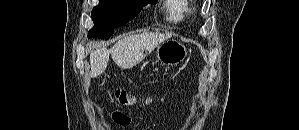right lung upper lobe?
Returning a JSON list of instances; mask_svg holds the SVG:
<instances>
[{
  "instance_id": "cb5924a9",
  "label": "right lung upper lobe",
  "mask_w": 299,
  "mask_h": 130,
  "mask_svg": "<svg viewBox=\"0 0 299 130\" xmlns=\"http://www.w3.org/2000/svg\"><path fill=\"white\" fill-rule=\"evenodd\" d=\"M142 1H157V0H142Z\"/></svg>"
}]
</instances>
